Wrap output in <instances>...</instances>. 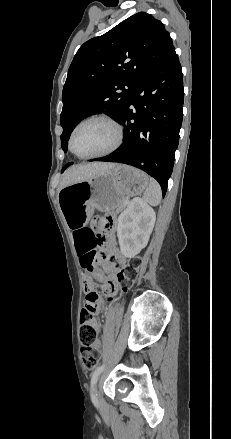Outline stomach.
Instances as JSON below:
<instances>
[{
	"label": "stomach",
	"mask_w": 231,
	"mask_h": 439,
	"mask_svg": "<svg viewBox=\"0 0 231 439\" xmlns=\"http://www.w3.org/2000/svg\"><path fill=\"white\" fill-rule=\"evenodd\" d=\"M148 176L133 167L116 164L87 180L73 183L59 193V204L71 229L85 226L95 209L103 212L120 210L129 196L142 193Z\"/></svg>",
	"instance_id": "1"
}]
</instances>
